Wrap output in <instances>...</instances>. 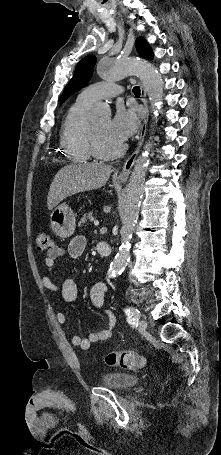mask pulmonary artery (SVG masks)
Returning a JSON list of instances; mask_svg holds the SVG:
<instances>
[{
  "mask_svg": "<svg viewBox=\"0 0 221 455\" xmlns=\"http://www.w3.org/2000/svg\"><path fill=\"white\" fill-rule=\"evenodd\" d=\"M123 92L120 85L111 82H99L87 86L79 94L80 98L89 104H94L99 100L114 97Z\"/></svg>",
  "mask_w": 221,
  "mask_h": 455,
  "instance_id": "1",
  "label": "pulmonary artery"
}]
</instances>
